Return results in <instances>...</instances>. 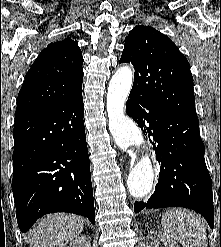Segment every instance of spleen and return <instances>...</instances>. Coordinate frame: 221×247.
<instances>
[{
	"label": "spleen",
	"instance_id": "obj_1",
	"mask_svg": "<svg viewBox=\"0 0 221 247\" xmlns=\"http://www.w3.org/2000/svg\"><path fill=\"white\" fill-rule=\"evenodd\" d=\"M163 233L183 247H206L204 220L183 208H171L162 215Z\"/></svg>",
	"mask_w": 221,
	"mask_h": 247
}]
</instances>
